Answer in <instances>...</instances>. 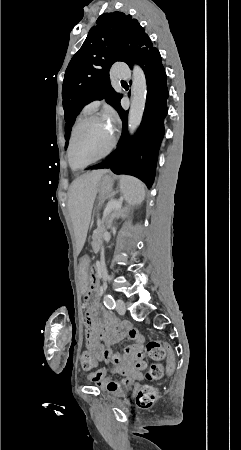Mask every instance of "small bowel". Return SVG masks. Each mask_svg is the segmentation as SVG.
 I'll list each match as a JSON object with an SVG mask.
<instances>
[{
  "instance_id": "c3829d8e",
  "label": "small bowel",
  "mask_w": 241,
  "mask_h": 450,
  "mask_svg": "<svg viewBox=\"0 0 241 450\" xmlns=\"http://www.w3.org/2000/svg\"><path fill=\"white\" fill-rule=\"evenodd\" d=\"M98 305L97 298H84L83 306L89 309L83 312L87 325H100V316H92ZM118 324H105L104 330H94L90 326L86 330V347H93L95 359L103 360L106 367L88 374V379L98 387L109 392H122L127 386L142 380V370L147 364L145 360V337L130 324L124 323L118 332ZM123 339L134 343L125 346L121 353H113L112 346ZM118 374L120 379H113L109 374Z\"/></svg>"
}]
</instances>
